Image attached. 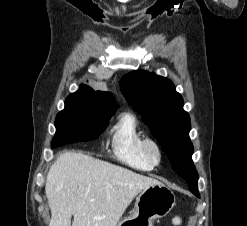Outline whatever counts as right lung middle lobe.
<instances>
[{"mask_svg":"<svg viewBox=\"0 0 247 226\" xmlns=\"http://www.w3.org/2000/svg\"><path fill=\"white\" fill-rule=\"evenodd\" d=\"M100 111L97 102L78 94L69 95L64 110L55 120L56 134L52 147L97 138L114 115H104Z\"/></svg>","mask_w":247,"mask_h":226,"instance_id":"1","label":"right lung middle lobe"}]
</instances>
